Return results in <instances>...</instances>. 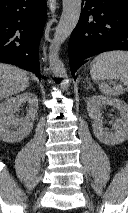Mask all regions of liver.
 Wrapping results in <instances>:
<instances>
[{
  "mask_svg": "<svg viewBox=\"0 0 128 213\" xmlns=\"http://www.w3.org/2000/svg\"><path fill=\"white\" fill-rule=\"evenodd\" d=\"M28 85L29 78L24 70L0 63V100L24 91Z\"/></svg>",
  "mask_w": 128,
  "mask_h": 213,
  "instance_id": "1",
  "label": "liver"
}]
</instances>
